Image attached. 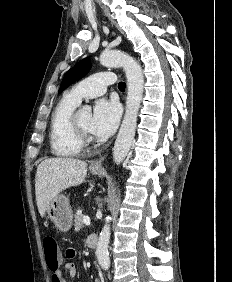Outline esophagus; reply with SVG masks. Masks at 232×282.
<instances>
[{
  "instance_id": "34e87169",
  "label": "esophagus",
  "mask_w": 232,
  "mask_h": 282,
  "mask_svg": "<svg viewBox=\"0 0 232 282\" xmlns=\"http://www.w3.org/2000/svg\"><path fill=\"white\" fill-rule=\"evenodd\" d=\"M104 159H105V156H103V157L93 161L91 163V168H96V169L100 168L102 166V163H103Z\"/></svg>"
}]
</instances>
